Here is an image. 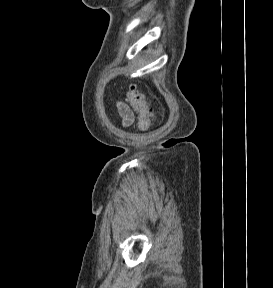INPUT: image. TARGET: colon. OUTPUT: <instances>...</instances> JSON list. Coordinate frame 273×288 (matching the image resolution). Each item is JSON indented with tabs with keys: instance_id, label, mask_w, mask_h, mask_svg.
I'll list each match as a JSON object with an SVG mask.
<instances>
[{
	"instance_id": "1",
	"label": "colon",
	"mask_w": 273,
	"mask_h": 288,
	"mask_svg": "<svg viewBox=\"0 0 273 288\" xmlns=\"http://www.w3.org/2000/svg\"><path fill=\"white\" fill-rule=\"evenodd\" d=\"M127 98L137 114V127L141 131L148 130L152 124V113L145 95L135 87H130L127 91Z\"/></svg>"
}]
</instances>
